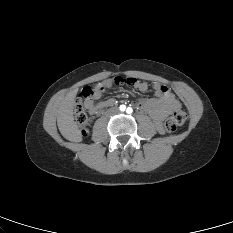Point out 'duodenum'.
I'll list each match as a JSON object with an SVG mask.
<instances>
[{
    "label": "duodenum",
    "instance_id": "duodenum-1",
    "mask_svg": "<svg viewBox=\"0 0 233 233\" xmlns=\"http://www.w3.org/2000/svg\"><path fill=\"white\" fill-rule=\"evenodd\" d=\"M112 106V104H109V105H107L105 108H107V107H111ZM105 108H103V109H105Z\"/></svg>",
    "mask_w": 233,
    "mask_h": 233
}]
</instances>
